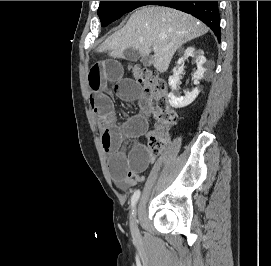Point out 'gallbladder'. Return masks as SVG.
<instances>
[{"mask_svg": "<svg viewBox=\"0 0 271 266\" xmlns=\"http://www.w3.org/2000/svg\"><path fill=\"white\" fill-rule=\"evenodd\" d=\"M124 56H125V59L127 60H136L137 59V55H136V51L135 50H132V49H126L124 51ZM141 62L142 64L144 65V67H149L151 65V59L150 57L146 56V57H143L141 59Z\"/></svg>", "mask_w": 271, "mask_h": 266, "instance_id": "gallbladder-1", "label": "gallbladder"}]
</instances>
